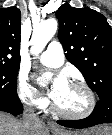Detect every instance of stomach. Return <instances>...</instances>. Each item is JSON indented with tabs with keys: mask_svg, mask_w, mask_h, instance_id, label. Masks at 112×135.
I'll return each instance as SVG.
<instances>
[{
	"mask_svg": "<svg viewBox=\"0 0 112 135\" xmlns=\"http://www.w3.org/2000/svg\"><path fill=\"white\" fill-rule=\"evenodd\" d=\"M111 128L108 126H100L91 131L84 132H55V135H111Z\"/></svg>",
	"mask_w": 112,
	"mask_h": 135,
	"instance_id": "obj_1",
	"label": "stomach"
}]
</instances>
